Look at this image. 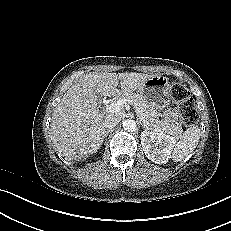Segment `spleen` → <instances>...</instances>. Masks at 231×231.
Here are the masks:
<instances>
[{"label": "spleen", "mask_w": 231, "mask_h": 231, "mask_svg": "<svg viewBox=\"0 0 231 231\" xmlns=\"http://www.w3.org/2000/svg\"><path fill=\"white\" fill-rule=\"evenodd\" d=\"M199 139L200 128L197 125H192L183 133L180 140L174 145V148L172 149V160L175 162L184 160L197 147Z\"/></svg>", "instance_id": "obj_1"}]
</instances>
